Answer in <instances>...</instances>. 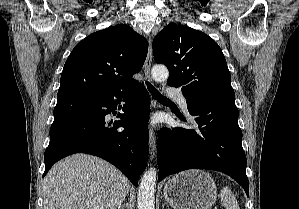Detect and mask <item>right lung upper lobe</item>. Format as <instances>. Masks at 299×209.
Instances as JSON below:
<instances>
[{"label":"right lung upper lobe","mask_w":299,"mask_h":209,"mask_svg":"<svg viewBox=\"0 0 299 209\" xmlns=\"http://www.w3.org/2000/svg\"><path fill=\"white\" fill-rule=\"evenodd\" d=\"M148 42L125 24L90 34L67 58L58 90L63 95H93L133 89L132 78L146 59Z\"/></svg>","instance_id":"right-lung-upper-lobe-1"}]
</instances>
